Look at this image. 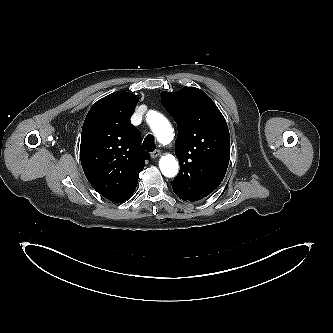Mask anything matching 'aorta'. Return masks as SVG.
<instances>
[{"instance_id": "1", "label": "aorta", "mask_w": 333, "mask_h": 333, "mask_svg": "<svg viewBox=\"0 0 333 333\" xmlns=\"http://www.w3.org/2000/svg\"><path fill=\"white\" fill-rule=\"evenodd\" d=\"M149 125L161 144L167 145L173 140L174 135L172 127L162 114L154 113L149 121ZM159 167L163 175L166 177H174L178 173V162L171 154L161 157Z\"/></svg>"}]
</instances>
